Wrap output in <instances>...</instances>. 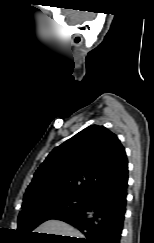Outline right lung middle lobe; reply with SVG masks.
<instances>
[{"label":"right lung middle lobe","instance_id":"right-lung-middle-lobe-1","mask_svg":"<svg viewBox=\"0 0 154 243\" xmlns=\"http://www.w3.org/2000/svg\"><path fill=\"white\" fill-rule=\"evenodd\" d=\"M85 201L86 197L59 195L23 204L17 231L22 236L30 235L39 224L62 213L77 210Z\"/></svg>","mask_w":154,"mask_h":243}]
</instances>
